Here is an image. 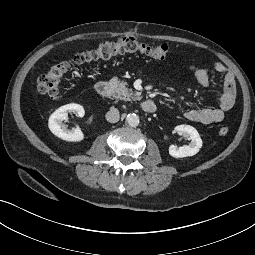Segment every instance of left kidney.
<instances>
[{"instance_id":"obj_1","label":"left kidney","mask_w":255,"mask_h":255,"mask_svg":"<svg viewBox=\"0 0 255 255\" xmlns=\"http://www.w3.org/2000/svg\"><path fill=\"white\" fill-rule=\"evenodd\" d=\"M176 132H180L185 136L188 140H190L189 145H183L177 147L175 145H171L169 147V154L174 158H183L187 156H193L197 154L202 147V140L198 131L190 126V125H178L175 127Z\"/></svg>"}]
</instances>
